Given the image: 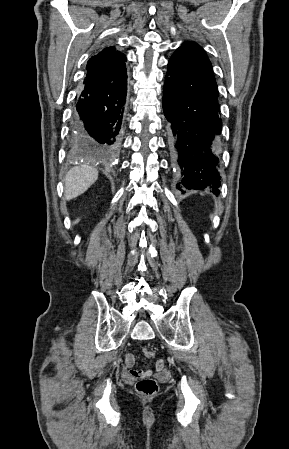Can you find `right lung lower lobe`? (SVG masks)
<instances>
[{
  "label": "right lung lower lobe",
  "instance_id": "obj_1",
  "mask_svg": "<svg viewBox=\"0 0 289 449\" xmlns=\"http://www.w3.org/2000/svg\"><path fill=\"white\" fill-rule=\"evenodd\" d=\"M126 93L125 64L106 72H87L76 104L73 128L101 153H110L118 146Z\"/></svg>",
  "mask_w": 289,
  "mask_h": 449
}]
</instances>
